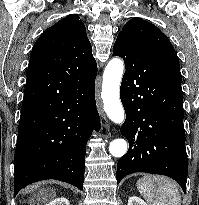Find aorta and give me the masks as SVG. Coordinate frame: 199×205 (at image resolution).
I'll return each mask as SVG.
<instances>
[{"instance_id":"aorta-1","label":"aorta","mask_w":199,"mask_h":205,"mask_svg":"<svg viewBox=\"0 0 199 205\" xmlns=\"http://www.w3.org/2000/svg\"><path fill=\"white\" fill-rule=\"evenodd\" d=\"M124 63L120 58L111 59L103 74L101 97L108 117L116 124H122L125 118L124 109L119 97L120 83ZM109 152L114 157H122L127 152V142L115 139L110 143Z\"/></svg>"}]
</instances>
